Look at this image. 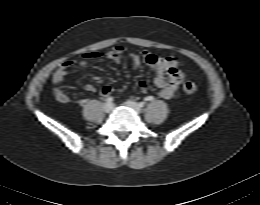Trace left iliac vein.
<instances>
[{
	"label": "left iliac vein",
	"instance_id": "left-iliac-vein-1",
	"mask_svg": "<svg viewBox=\"0 0 260 205\" xmlns=\"http://www.w3.org/2000/svg\"><path fill=\"white\" fill-rule=\"evenodd\" d=\"M126 106L132 108L136 113H140L141 109L138 103L128 100L125 102Z\"/></svg>",
	"mask_w": 260,
	"mask_h": 205
}]
</instances>
